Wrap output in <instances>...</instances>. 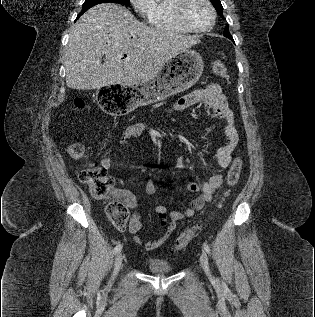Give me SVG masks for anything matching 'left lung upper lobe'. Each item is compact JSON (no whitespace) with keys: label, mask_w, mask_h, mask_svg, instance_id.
I'll use <instances>...</instances> for the list:
<instances>
[{"label":"left lung upper lobe","mask_w":315,"mask_h":317,"mask_svg":"<svg viewBox=\"0 0 315 317\" xmlns=\"http://www.w3.org/2000/svg\"><path fill=\"white\" fill-rule=\"evenodd\" d=\"M211 3L213 4V6L215 7V9L217 10V13L223 17V7L221 5L220 0H210ZM224 36L229 38L230 40H233V37L231 36L229 29H228V25L225 27V31H224Z\"/></svg>","instance_id":"left-lung-upper-lobe-1"}]
</instances>
